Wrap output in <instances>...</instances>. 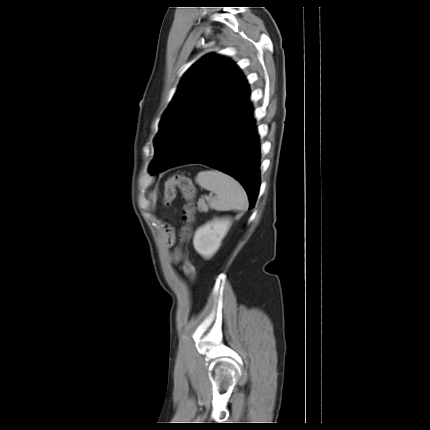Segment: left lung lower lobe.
Instances as JSON below:
<instances>
[{
  "instance_id": "0a47b994",
  "label": "left lung lower lobe",
  "mask_w": 430,
  "mask_h": 430,
  "mask_svg": "<svg viewBox=\"0 0 430 430\" xmlns=\"http://www.w3.org/2000/svg\"><path fill=\"white\" fill-rule=\"evenodd\" d=\"M252 114L249 103L230 119L206 115L200 124L197 122L187 143L160 170L200 163L225 172L242 184L249 197V208H253L260 186V147Z\"/></svg>"
}]
</instances>
